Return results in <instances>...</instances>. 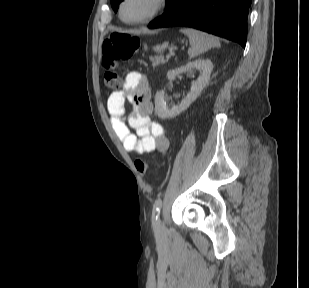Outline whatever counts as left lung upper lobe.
Returning a JSON list of instances; mask_svg holds the SVG:
<instances>
[{"instance_id":"obj_1","label":"left lung upper lobe","mask_w":309,"mask_h":288,"mask_svg":"<svg viewBox=\"0 0 309 288\" xmlns=\"http://www.w3.org/2000/svg\"><path fill=\"white\" fill-rule=\"evenodd\" d=\"M123 0H111V5L113 10L116 12L118 9V5L120 2H122ZM167 4H166V8H169L174 2L175 0H166Z\"/></svg>"}]
</instances>
